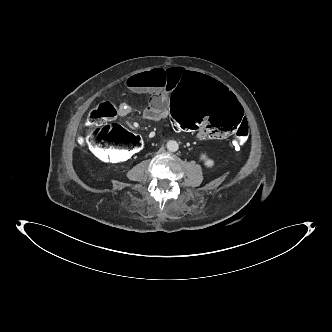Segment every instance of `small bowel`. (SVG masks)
<instances>
[{
    "label": "small bowel",
    "instance_id": "c3829d8e",
    "mask_svg": "<svg viewBox=\"0 0 332 332\" xmlns=\"http://www.w3.org/2000/svg\"><path fill=\"white\" fill-rule=\"evenodd\" d=\"M184 75V71L180 68H155L135 74L127 79L126 83L130 91L150 94L151 96L143 113L146 120L160 121L170 116L172 96ZM131 111L130 105L122 103L119 106L118 114L119 116H126ZM172 125L175 127L173 123ZM196 136L199 139L209 138L200 133H197Z\"/></svg>",
    "mask_w": 332,
    "mask_h": 332
}]
</instances>
